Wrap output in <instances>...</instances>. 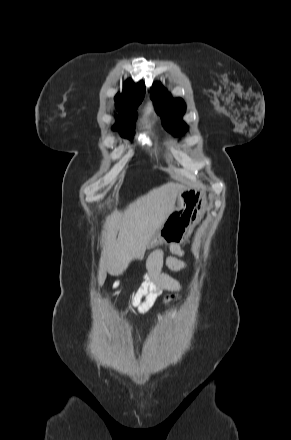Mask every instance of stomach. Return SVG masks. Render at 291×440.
Listing matches in <instances>:
<instances>
[{
	"instance_id": "0dacf381",
	"label": "stomach",
	"mask_w": 291,
	"mask_h": 440,
	"mask_svg": "<svg viewBox=\"0 0 291 440\" xmlns=\"http://www.w3.org/2000/svg\"><path fill=\"white\" fill-rule=\"evenodd\" d=\"M177 203V208L167 215L148 247L162 242H177L188 237L209 207L205 192L196 188H183L179 191Z\"/></svg>"
}]
</instances>
